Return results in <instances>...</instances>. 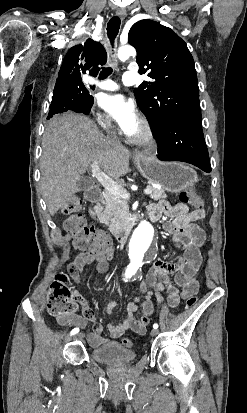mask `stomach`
Listing matches in <instances>:
<instances>
[{"instance_id":"1","label":"stomach","mask_w":247,"mask_h":413,"mask_svg":"<svg viewBox=\"0 0 247 413\" xmlns=\"http://www.w3.org/2000/svg\"><path fill=\"white\" fill-rule=\"evenodd\" d=\"M133 160L142 176L160 184L168 192H180L193 186L198 180L197 172L183 162H161L154 156L138 154Z\"/></svg>"}]
</instances>
